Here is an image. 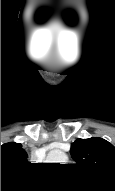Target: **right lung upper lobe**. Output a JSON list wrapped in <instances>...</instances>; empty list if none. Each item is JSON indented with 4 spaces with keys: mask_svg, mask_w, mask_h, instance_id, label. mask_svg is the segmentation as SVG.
<instances>
[{
    "mask_svg": "<svg viewBox=\"0 0 115 191\" xmlns=\"http://www.w3.org/2000/svg\"><path fill=\"white\" fill-rule=\"evenodd\" d=\"M27 157L21 144L15 142L3 144L1 146V175L22 171L29 164Z\"/></svg>",
    "mask_w": 115,
    "mask_h": 191,
    "instance_id": "obj_1",
    "label": "right lung upper lobe"
}]
</instances>
